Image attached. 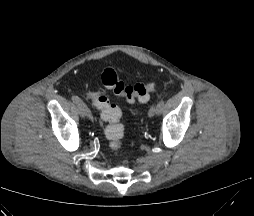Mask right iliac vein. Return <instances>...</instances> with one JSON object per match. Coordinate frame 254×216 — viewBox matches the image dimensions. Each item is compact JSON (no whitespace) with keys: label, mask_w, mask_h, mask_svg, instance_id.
Instances as JSON below:
<instances>
[{"label":"right iliac vein","mask_w":254,"mask_h":216,"mask_svg":"<svg viewBox=\"0 0 254 216\" xmlns=\"http://www.w3.org/2000/svg\"><path fill=\"white\" fill-rule=\"evenodd\" d=\"M77 111H78V114L81 118H85L87 117V113H86V110L83 106H79L77 105Z\"/></svg>","instance_id":"63e3f726"}]
</instances>
